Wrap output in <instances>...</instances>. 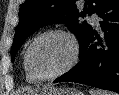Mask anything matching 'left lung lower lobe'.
<instances>
[{
  "mask_svg": "<svg viewBox=\"0 0 119 95\" xmlns=\"http://www.w3.org/2000/svg\"><path fill=\"white\" fill-rule=\"evenodd\" d=\"M96 13L103 33L91 28L80 43L79 63L54 83L78 82L119 93V0H107Z\"/></svg>",
  "mask_w": 119,
  "mask_h": 95,
  "instance_id": "left-lung-lower-lobe-1",
  "label": "left lung lower lobe"
}]
</instances>
